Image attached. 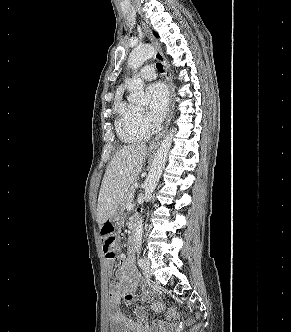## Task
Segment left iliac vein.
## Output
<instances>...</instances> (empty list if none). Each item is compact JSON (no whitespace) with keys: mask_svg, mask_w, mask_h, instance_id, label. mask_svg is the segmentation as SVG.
Returning <instances> with one entry per match:
<instances>
[{"mask_svg":"<svg viewBox=\"0 0 291 332\" xmlns=\"http://www.w3.org/2000/svg\"><path fill=\"white\" fill-rule=\"evenodd\" d=\"M145 266L143 267V273L147 278H150L152 276V272L150 269V261L148 259L144 260Z\"/></svg>","mask_w":291,"mask_h":332,"instance_id":"obj_1","label":"left iliac vein"}]
</instances>
